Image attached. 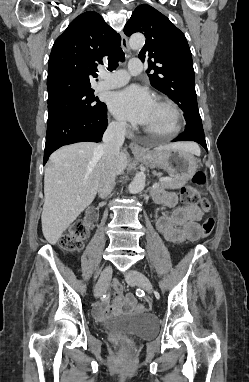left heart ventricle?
Wrapping results in <instances>:
<instances>
[{"label": "left heart ventricle", "mask_w": 249, "mask_h": 382, "mask_svg": "<svg viewBox=\"0 0 249 382\" xmlns=\"http://www.w3.org/2000/svg\"><path fill=\"white\" fill-rule=\"evenodd\" d=\"M172 122L171 112L166 107L156 103L144 127L154 133H165L171 129Z\"/></svg>", "instance_id": "1"}]
</instances>
